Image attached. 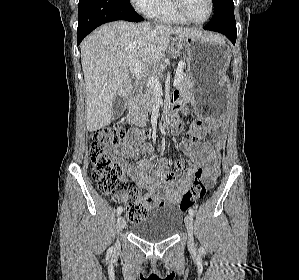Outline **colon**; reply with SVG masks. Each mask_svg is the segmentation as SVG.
<instances>
[{"instance_id":"colon-1","label":"colon","mask_w":299,"mask_h":280,"mask_svg":"<svg viewBox=\"0 0 299 280\" xmlns=\"http://www.w3.org/2000/svg\"><path fill=\"white\" fill-rule=\"evenodd\" d=\"M202 133L201 121L196 119L192 125H188L184 136L194 141L192 136ZM129 138V133L124 127H105L96 130L91 136V161L92 176L96 181L99 190L112 196L125 207V215L130 223L142 220L148 211L147 203L141 196L137 183L124 175L123 165L113 159L107 148L116 146ZM190 166L188 161H180L177 167L185 170ZM202 168L196 170V178L191 190L183 197L180 209L187 211L197 201L203 199L211 188V182L204 180Z\"/></svg>"}]
</instances>
